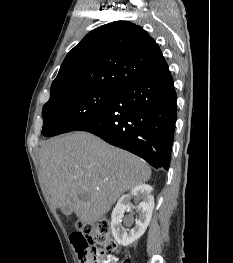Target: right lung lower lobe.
<instances>
[{
	"instance_id": "obj_1",
	"label": "right lung lower lobe",
	"mask_w": 233,
	"mask_h": 263,
	"mask_svg": "<svg viewBox=\"0 0 233 263\" xmlns=\"http://www.w3.org/2000/svg\"><path fill=\"white\" fill-rule=\"evenodd\" d=\"M169 70L119 89L110 105L75 131L91 132L155 168L168 170L177 119Z\"/></svg>"
}]
</instances>
